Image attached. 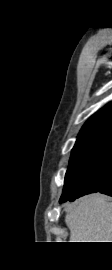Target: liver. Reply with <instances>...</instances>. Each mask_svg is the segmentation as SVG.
Instances as JSON below:
<instances>
[{
  "mask_svg": "<svg viewBox=\"0 0 112 270\" xmlns=\"http://www.w3.org/2000/svg\"><path fill=\"white\" fill-rule=\"evenodd\" d=\"M70 242H112V202L100 194L76 201L65 217Z\"/></svg>",
  "mask_w": 112,
  "mask_h": 270,
  "instance_id": "liver-1",
  "label": "liver"
}]
</instances>
